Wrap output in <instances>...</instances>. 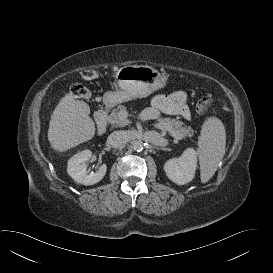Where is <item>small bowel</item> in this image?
<instances>
[{
  "label": "small bowel",
  "mask_w": 273,
  "mask_h": 273,
  "mask_svg": "<svg viewBox=\"0 0 273 273\" xmlns=\"http://www.w3.org/2000/svg\"><path fill=\"white\" fill-rule=\"evenodd\" d=\"M187 100V95L183 91L157 95L151 102V116L156 118L163 113L189 119L190 109Z\"/></svg>",
  "instance_id": "small-bowel-1"
}]
</instances>
